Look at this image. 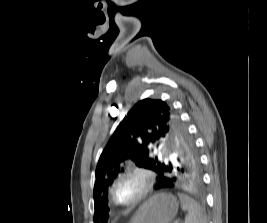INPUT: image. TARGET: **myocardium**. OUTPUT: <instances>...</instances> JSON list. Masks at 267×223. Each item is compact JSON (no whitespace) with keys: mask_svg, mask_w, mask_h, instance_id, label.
I'll return each instance as SVG.
<instances>
[{"mask_svg":"<svg viewBox=\"0 0 267 223\" xmlns=\"http://www.w3.org/2000/svg\"><path fill=\"white\" fill-rule=\"evenodd\" d=\"M135 177L141 181V189L136 196L127 201H121L116 196V187L127 178ZM155 183L154 173L141 166H130L125 171L119 173L110 186V196L116 204L124 207L133 206L142 201L153 189Z\"/></svg>","mask_w":267,"mask_h":223,"instance_id":"myocardium-1","label":"myocardium"}]
</instances>
